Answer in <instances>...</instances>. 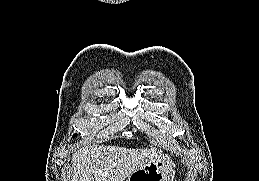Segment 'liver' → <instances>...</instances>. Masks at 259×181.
<instances>
[{"label": "liver", "mask_w": 259, "mask_h": 181, "mask_svg": "<svg viewBox=\"0 0 259 181\" xmlns=\"http://www.w3.org/2000/svg\"><path fill=\"white\" fill-rule=\"evenodd\" d=\"M159 154L156 148L128 149L96 144L81 147L72 156L71 181H124Z\"/></svg>", "instance_id": "1"}]
</instances>
